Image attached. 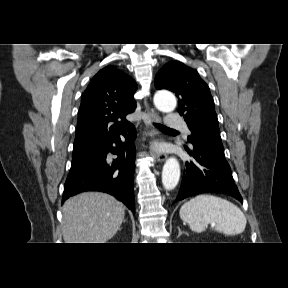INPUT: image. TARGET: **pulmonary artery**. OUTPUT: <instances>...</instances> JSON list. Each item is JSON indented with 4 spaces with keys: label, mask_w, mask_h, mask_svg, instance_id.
Segmentation results:
<instances>
[{
    "label": "pulmonary artery",
    "mask_w": 288,
    "mask_h": 288,
    "mask_svg": "<svg viewBox=\"0 0 288 288\" xmlns=\"http://www.w3.org/2000/svg\"><path fill=\"white\" fill-rule=\"evenodd\" d=\"M167 127L172 129H185L186 125L184 119L177 113L167 114Z\"/></svg>",
    "instance_id": "1"
}]
</instances>
